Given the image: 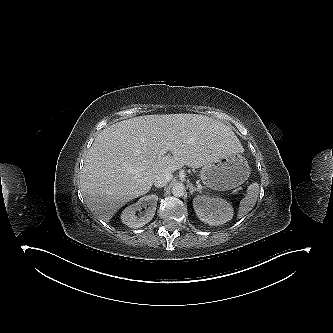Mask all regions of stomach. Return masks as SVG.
I'll return each mask as SVG.
<instances>
[{
    "mask_svg": "<svg viewBox=\"0 0 333 333\" xmlns=\"http://www.w3.org/2000/svg\"><path fill=\"white\" fill-rule=\"evenodd\" d=\"M250 175L246 159L232 154L206 164L200 171L203 184L215 190H229L243 184Z\"/></svg>",
    "mask_w": 333,
    "mask_h": 333,
    "instance_id": "stomach-1",
    "label": "stomach"
}]
</instances>
